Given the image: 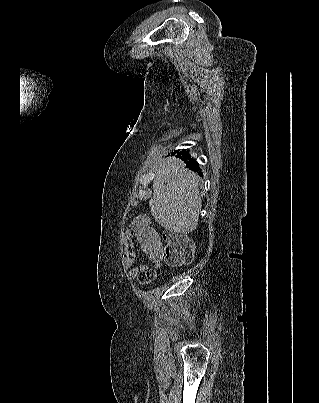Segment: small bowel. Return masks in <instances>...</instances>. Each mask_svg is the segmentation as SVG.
<instances>
[{
  "label": "small bowel",
  "instance_id": "small-bowel-1",
  "mask_svg": "<svg viewBox=\"0 0 319 403\" xmlns=\"http://www.w3.org/2000/svg\"><path fill=\"white\" fill-rule=\"evenodd\" d=\"M129 236H131V234H129ZM135 260H136V253H135L133 250L130 251V252H128V253L125 255V258H124V266L127 267V268H131V269L129 270V277H130L131 279H135V278L138 276L139 272H144V271H146V270H149V267H150V266H149L148 264H146V263H141V264H139L138 266L133 267V265H134V263H135ZM152 266H153V267H157V266H158V262L153 263Z\"/></svg>",
  "mask_w": 319,
  "mask_h": 403
}]
</instances>
